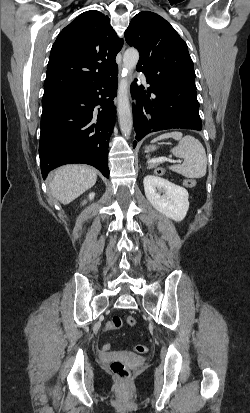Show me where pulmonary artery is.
Returning a JSON list of instances; mask_svg holds the SVG:
<instances>
[{
  "label": "pulmonary artery",
  "mask_w": 250,
  "mask_h": 413,
  "mask_svg": "<svg viewBox=\"0 0 250 413\" xmlns=\"http://www.w3.org/2000/svg\"><path fill=\"white\" fill-rule=\"evenodd\" d=\"M142 78H143V79H145V76H144V75H142Z\"/></svg>",
  "instance_id": "obj_1"
}]
</instances>
